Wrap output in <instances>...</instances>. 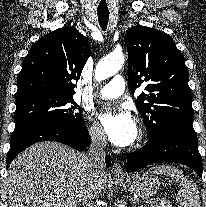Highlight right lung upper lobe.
<instances>
[{
	"label": "right lung upper lobe",
	"mask_w": 206,
	"mask_h": 207,
	"mask_svg": "<svg viewBox=\"0 0 206 207\" xmlns=\"http://www.w3.org/2000/svg\"><path fill=\"white\" fill-rule=\"evenodd\" d=\"M90 55L89 41L73 27L46 34L23 61L15 100L38 94L73 96L72 80L80 78Z\"/></svg>",
	"instance_id": "1"
}]
</instances>
